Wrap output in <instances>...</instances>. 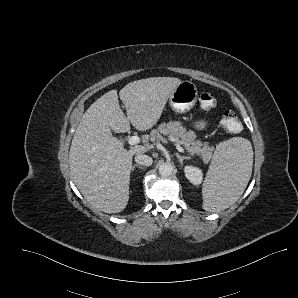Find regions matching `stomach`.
I'll list each match as a JSON object with an SVG mask.
<instances>
[{"label": "stomach", "instance_id": "obj_1", "mask_svg": "<svg viewBox=\"0 0 298 298\" xmlns=\"http://www.w3.org/2000/svg\"><path fill=\"white\" fill-rule=\"evenodd\" d=\"M197 100V86L192 81L184 80L170 96L169 106L175 113L185 114L194 108Z\"/></svg>", "mask_w": 298, "mask_h": 298}]
</instances>
